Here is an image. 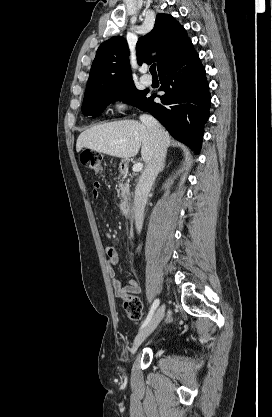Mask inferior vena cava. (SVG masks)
Wrapping results in <instances>:
<instances>
[{
    "label": "inferior vena cava",
    "instance_id": "obj_1",
    "mask_svg": "<svg viewBox=\"0 0 272 417\" xmlns=\"http://www.w3.org/2000/svg\"><path fill=\"white\" fill-rule=\"evenodd\" d=\"M140 120L150 134L152 149L150 160L142 175L140 176L135 188L133 212L138 233H140L142 230L144 210L147 203L148 194L164 164V159L166 156V141L164 130L159 122L154 117L147 114L141 115Z\"/></svg>",
    "mask_w": 272,
    "mask_h": 417
}]
</instances>
